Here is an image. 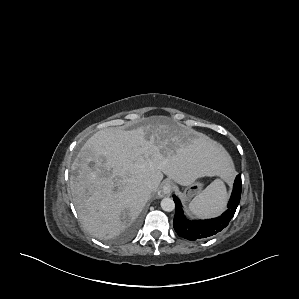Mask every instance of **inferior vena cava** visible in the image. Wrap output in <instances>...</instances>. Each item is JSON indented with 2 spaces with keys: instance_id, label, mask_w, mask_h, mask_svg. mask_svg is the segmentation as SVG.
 <instances>
[{
  "instance_id": "602c4592",
  "label": "inferior vena cava",
  "mask_w": 299,
  "mask_h": 299,
  "mask_svg": "<svg viewBox=\"0 0 299 299\" xmlns=\"http://www.w3.org/2000/svg\"><path fill=\"white\" fill-rule=\"evenodd\" d=\"M146 187H147L148 190H150V191H152V189H153V186H152L151 182H147V183H146Z\"/></svg>"
}]
</instances>
